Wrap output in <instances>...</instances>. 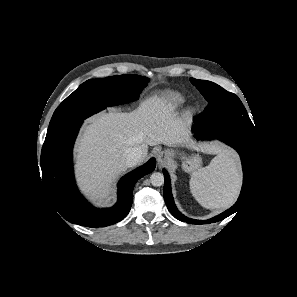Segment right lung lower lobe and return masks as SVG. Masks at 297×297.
Masks as SVG:
<instances>
[{
	"label": "right lung lower lobe",
	"mask_w": 297,
	"mask_h": 297,
	"mask_svg": "<svg viewBox=\"0 0 297 297\" xmlns=\"http://www.w3.org/2000/svg\"><path fill=\"white\" fill-rule=\"evenodd\" d=\"M81 124L77 123L53 138L45 139L39 163L41 182L50 202L69 222L87 227L109 226L129 213L136 182L155 169L156 161L152 158L121 178L118 183V201L114 207L94 208L79 193L73 174L72 149Z\"/></svg>",
	"instance_id": "98d812e1"
}]
</instances>
